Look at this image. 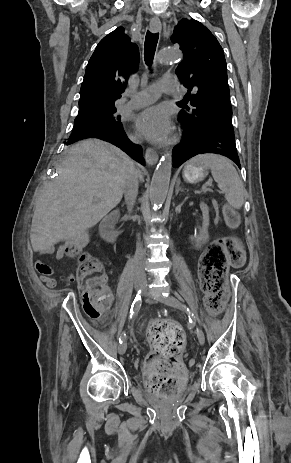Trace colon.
<instances>
[{
	"label": "colon",
	"mask_w": 291,
	"mask_h": 463,
	"mask_svg": "<svg viewBox=\"0 0 291 463\" xmlns=\"http://www.w3.org/2000/svg\"><path fill=\"white\" fill-rule=\"evenodd\" d=\"M224 215L230 225L237 224L238 214L233 208L225 206ZM86 246L87 236L81 233L67 242L64 252L78 258V283L84 310L88 315L98 317L109 305L111 296L103 283L102 265L85 251ZM241 257L240 242L231 235L214 241L202 255L199 272L206 293V306L211 312L219 313L225 305L228 259L238 262ZM40 267L46 270L45 266ZM148 339L154 352L145 367L147 384L152 390L172 395L183 374L180 355L185 345V334L176 323L158 321L150 326Z\"/></svg>",
	"instance_id": "5ec220e1"
}]
</instances>
